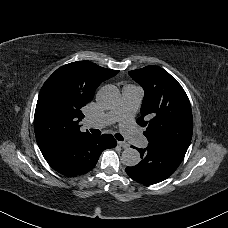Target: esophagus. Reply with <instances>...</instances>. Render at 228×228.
I'll list each match as a JSON object with an SVG mask.
<instances>
[{
	"mask_svg": "<svg viewBox=\"0 0 228 228\" xmlns=\"http://www.w3.org/2000/svg\"><path fill=\"white\" fill-rule=\"evenodd\" d=\"M117 144L122 148H128V146H129L127 143L121 142V141H118Z\"/></svg>",
	"mask_w": 228,
	"mask_h": 228,
	"instance_id": "1",
	"label": "esophagus"
}]
</instances>
